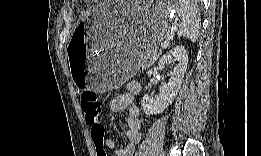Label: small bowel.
<instances>
[{
	"instance_id": "small-bowel-1",
	"label": "small bowel",
	"mask_w": 261,
	"mask_h": 156,
	"mask_svg": "<svg viewBox=\"0 0 261 156\" xmlns=\"http://www.w3.org/2000/svg\"><path fill=\"white\" fill-rule=\"evenodd\" d=\"M141 92V86L137 82H130L127 85L125 93L113 98L109 104L112 112H122L128 109V115L123 127V133L127 139V144L123 148H117L114 141L106 136L103 141V147L110 149L116 156H133L135 146L141 140V121L139 119V108L134 104L135 97ZM98 154V153H97ZM98 156H106L104 155Z\"/></svg>"
}]
</instances>
